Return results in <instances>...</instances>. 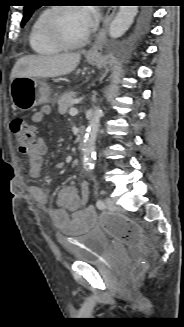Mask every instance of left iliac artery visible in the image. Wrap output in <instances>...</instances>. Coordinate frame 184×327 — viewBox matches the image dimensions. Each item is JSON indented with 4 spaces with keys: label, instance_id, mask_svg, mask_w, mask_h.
I'll list each match as a JSON object with an SVG mask.
<instances>
[{
    "label": "left iliac artery",
    "instance_id": "obj_1",
    "mask_svg": "<svg viewBox=\"0 0 184 327\" xmlns=\"http://www.w3.org/2000/svg\"><path fill=\"white\" fill-rule=\"evenodd\" d=\"M96 206H97L99 209H103V208H105V203H104L103 200H98V201L96 202Z\"/></svg>",
    "mask_w": 184,
    "mask_h": 327
}]
</instances>
